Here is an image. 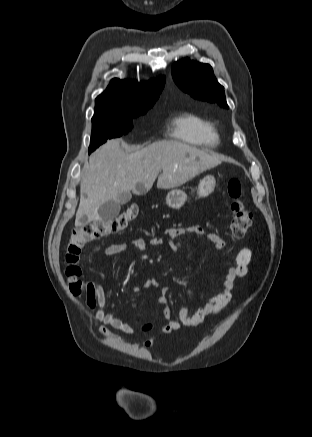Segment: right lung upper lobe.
<instances>
[{"mask_svg":"<svg viewBox=\"0 0 312 437\" xmlns=\"http://www.w3.org/2000/svg\"><path fill=\"white\" fill-rule=\"evenodd\" d=\"M164 84L165 77L140 83L112 79L95 100V114L135 116L147 112L159 98Z\"/></svg>","mask_w":312,"mask_h":437,"instance_id":"right-lung-upper-lobe-1","label":"right lung upper lobe"}]
</instances>
